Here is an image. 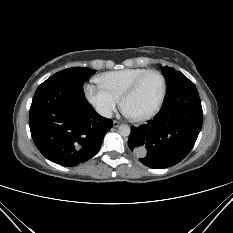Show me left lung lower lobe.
<instances>
[{
    "instance_id": "0a47b994",
    "label": "left lung lower lobe",
    "mask_w": 233,
    "mask_h": 233,
    "mask_svg": "<svg viewBox=\"0 0 233 233\" xmlns=\"http://www.w3.org/2000/svg\"><path fill=\"white\" fill-rule=\"evenodd\" d=\"M203 112L195 85L178 72L167 87L153 120L132 126L128 140L140 161L155 169L171 167L191 151L202 127Z\"/></svg>"
}]
</instances>
